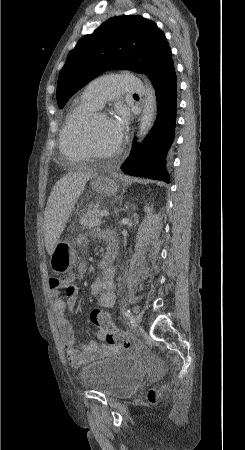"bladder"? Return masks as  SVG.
I'll use <instances>...</instances> for the list:
<instances>
[{
    "instance_id": "bladder-1",
    "label": "bladder",
    "mask_w": 245,
    "mask_h": 450,
    "mask_svg": "<svg viewBox=\"0 0 245 450\" xmlns=\"http://www.w3.org/2000/svg\"><path fill=\"white\" fill-rule=\"evenodd\" d=\"M79 375L84 387L117 398L131 395L143 378L133 360L116 356L84 366Z\"/></svg>"
}]
</instances>
